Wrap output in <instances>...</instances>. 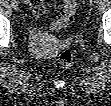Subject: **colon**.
<instances>
[{"label":"colon","instance_id":"5ec220e1","mask_svg":"<svg viewBox=\"0 0 111 106\" xmlns=\"http://www.w3.org/2000/svg\"><path fill=\"white\" fill-rule=\"evenodd\" d=\"M77 2L74 0H66L59 16L51 23L50 29L58 31L67 27L73 20L76 12ZM74 61V55L71 51L65 50L60 53L58 62L64 67L71 66Z\"/></svg>","mask_w":111,"mask_h":106}]
</instances>
